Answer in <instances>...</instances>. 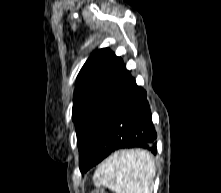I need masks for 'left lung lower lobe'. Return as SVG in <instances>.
<instances>
[{"instance_id": "0a47b994", "label": "left lung lower lobe", "mask_w": 221, "mask_h": 193, "mask_svg": "<svg viewBox=\"0 0 221 193\" xmlns=\"http://www.w3.org/2000/svg\"><path fill=\"white\" fill-rule=\"evenodd\" d=\"M156 138L146 91L127 72L111 107L107 130L83 170L119 149L140 147L156 154Z\"/></svg>"}]
</instances>
